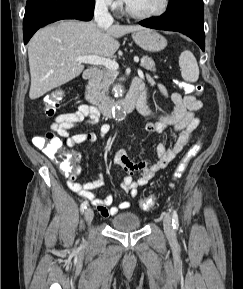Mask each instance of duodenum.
<instances>
[{"label": "duodenum", "instance_id": "duodenum-1", "mask_svg": "<svg viewBox=\"0 0 243 289\" xmlns=\"http://www.w3.org/2000/svg\"><path fill=\"white\" fill-rule=\"evenodd\" d=\"M97 74L98 69L95 67H90L84 71L83 78L86 81L84 98L94 106L102 116L111 118L120 112L142 111L147 95L142 87H132L128 95L120 101L102 100L93 93L91 88V82Z\"/></svg>", "mask_w": 243, "mask_h": 289}]
</instances>
